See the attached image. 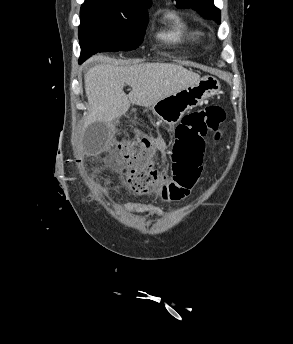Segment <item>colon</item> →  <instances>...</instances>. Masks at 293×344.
<instances>
[{
	"label": "colon",
	"instance_id": "obj_1",
	"mask_svg": "<svg viewBox=\"0 0 293 344\" xmlns=\"http://www.w3.org/2000/svg\"><path fill=\"white\" fill-rule=\"evenodd\" d=\"M225 112L210 105L188 113L176 127L171 148L173 175L161 179L152 173L155 145L152 139L141 137L120 144L112 157L117 169L125 173V182L135 194L156 195L168 201L187 196L198 180L202 167L205 138L211 134L221 137Z\"/></svg>",
	"mask_w": 293,
	"mask_h": 344
}]
</instances>
